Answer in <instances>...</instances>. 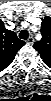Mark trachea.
<instances>
[{"instance_id": "1", "label": "trachea", "mask_w": 51, "mask_h": 101, "mask_svg": "<svg viewBox=\"0 0 51 101\" xmlns=\"http://www.w3.org/2000/svg\"><path fill=\"white\" fill-rule=\"evenodd\" d=\"M29 36V33L27 30H22L20 33H19V37L23 40H26Z\"/></svg>"}]
</instances>
